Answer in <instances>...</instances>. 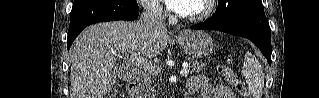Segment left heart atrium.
<instances>
[{"instance_id":"obj_1","label":"left heart atrium","mask_w":319,"mask_h":98,"mask_svg":"<svg viewBox=\"0 0 319 98\" xmlns=\"http://www.w3.org/2000/svg\"><path fill=\"white\" fill-rule=\"evenodd\" d=\"M167 7L174 12H185L189 6V0H166Z\"/></svg>"}]
</instances>
